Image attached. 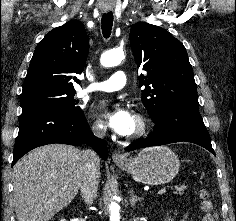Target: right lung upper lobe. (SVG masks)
I'll use <instances>...</instances> for the list:
<instances>
[{
	"label": "right lung upper lobe",
	"mask_w": 236,
	"mask_h": 221,
	"mask_svg": "<svg viewBox=\"0 0 236 221\" xmlns=\"http://www.w3.org/2000/svg\"><path fill=\"white\" fill-rule=\"evenodd\" d=\"M89 41L83 24L72 20L47 33L37 45L22 94L53 88L75 90L73 82L81 74L87 59Z\"/></svg>",
	"instance_id": "1"
}]
</instances>
